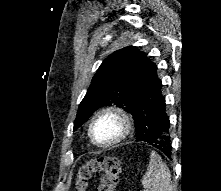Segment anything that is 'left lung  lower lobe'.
<instances>
[{
	"label": "left lung lower lobe",
	"mask_w": 221,
	"mask_h": 191,
	"mask_svg": "<svg viewBox=\"0 0 221 191\" xmlns=\"http://www.w3.org/2000/svg\"><path fill=\"white\" fill-rule=\"evenodd\" d=\"M161 89L157 66L143 55L132 89L136 141L147 142L170 158V121Z\"/></svg>",
	"instance_id": "0a47b994"
}]
</instances>
